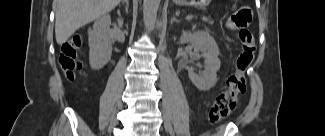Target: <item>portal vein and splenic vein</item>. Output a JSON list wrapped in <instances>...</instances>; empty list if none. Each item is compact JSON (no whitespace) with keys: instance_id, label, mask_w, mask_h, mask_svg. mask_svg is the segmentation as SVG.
Listing matches in <instances>:
<instances>
[{"instance_id":"18ae733b","label":"portal vein and splenic vein","mask_w":325,"mask_h":136,"mask_svg":"<svg viewBox=\"0 0 325 136\" xmlns=\"http://www.w3.org/2000/svg\"><path fill=\"white\" fill-rule=\"evenodd\" d=\"M192 18H193V15H192V14H189V15L186 17L187 20H190V19H192Z\"/></svg>"}]
</instances>
